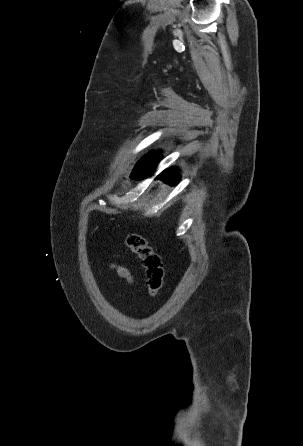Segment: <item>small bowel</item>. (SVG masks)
I'll list each match as a JSON object with an SVG mask.
<instances>
[{"label":"small bowel","instance_id":"c3829d8e","mask_svg":"<svg viewBox=\"0 0 303 446\" xmlns=\"http://www.w3.org/2000/svg\"><path fill=\"white\" fill-rule=\"evenodd\" d=\"M119 272H120L121 276H123L124 278H127L128 280L131 279L130 273L128 272L127 269L120 267Z\"/></svg>","mask_w":303,"mask_h":446}]
</instances>
